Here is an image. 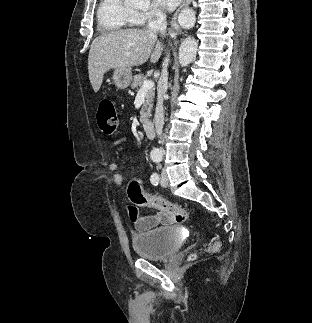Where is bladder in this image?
<instances>
[{
    "label": "bladder",
    "instance_id": "31cf9c89",
    "mask_svg": "<svg viewBox=\"0 0 312 323\" xmlns=\"http://www.w3.org/2000/svg\"><path fill=\"white\" fill-rule=\"evenodd\" d=\"M179 239L174 227H162L133 237L138 256L149 260L165 259L177 252Z\"/></svg>",
    "mask_w": 312,
    "mask_h": 323
}]
</instances>
